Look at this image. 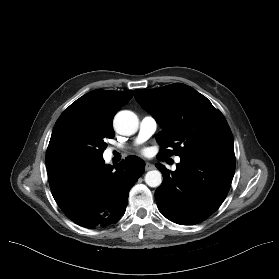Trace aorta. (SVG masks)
I'll list each match as a JSON object with an SVG mask.
<instances>
[{
    "instance_id": "obj_1",
    "label": "aorta",
    "mask_w": 279,
    "mask_h": 279,
    "mask_svg": "<svg viewBox=\"0 0 279 279\" xmlns=\"http://www.w3.org/2000/svg\"><path fill=\"white\" fill-rule=\"evenodd\" d=\"M113 125L117 133L130 136L137 132L139 119L135 113L123 110L116 114ZM144 179L148 186L158 187L162 183V174L158 170L148 171Z\"/></svg>"
}]
</instances>
